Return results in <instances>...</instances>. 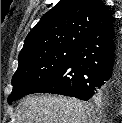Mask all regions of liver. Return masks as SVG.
Masks as SVG:
<instances>
[{
    "label": "liver",
    "instance_id": "obj_1",
    "mask_svg": "<svg viewBox=\"0 0 122 123\" xmlns=\"http://www.w3.org/2000/svg\"><path fill=\"white\" fill-rule=\"evenodd\" d=\"M17 123H102L103 114L89 102L52 95L28 96L17 108Z\"/></svg>",
    "mask_w": 122,
    "mask_h": 123
}]
</instances>
